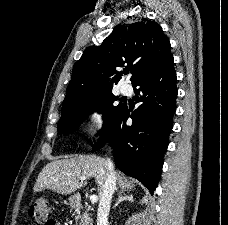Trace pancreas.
Instances as JSON below:
<instances>
[{
	"mask_svg": "<svg viewBox=\"0 0 228 225\" xmlns=\"http://www.w3.org/2000/svg\"><path fill=\"white\" fill-rule=\"evenodd\" d=\"M78 219L81 221L80 225H92V219H90L87 213H84V215H78Z\"/></svg>",
	"mask_w": 228,
	"mask_h": 225,
	"instance_id": "cf45deb5",
	"label": "pancreas"
}]
</instances>
